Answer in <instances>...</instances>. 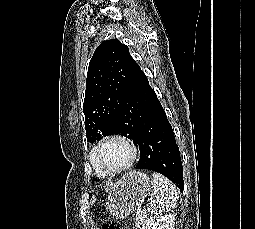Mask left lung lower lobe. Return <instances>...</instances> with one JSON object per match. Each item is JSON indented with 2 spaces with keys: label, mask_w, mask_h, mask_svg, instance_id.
Listing matches in <instances>:
<instances>
[{
  "label": "left lung lower lobe",
  "mask_w": 255,
  "mask_h": 229,
  "mask_svg": "<svg viewBox=\"0 0 255 229\" xmlns=\"http://www.w3.org/2000/svg\"><path fill=\"white\" fill-rule=\"evenodd\" d=\"M118 120L135 136L140 149L136 169L159 172L183 191V168L172 126L144 72L138 68L124 99Z\"/></svg>",
  "instance_id": "0a47b994"
}]
</instances>
